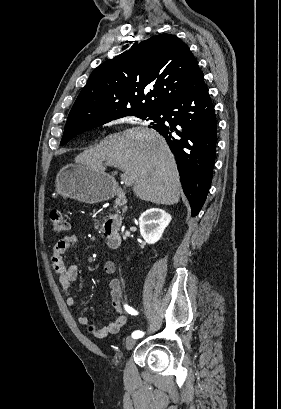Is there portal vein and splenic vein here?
<instances>
[{
	"mask_svg": "<svg viewBox=\"0 0 281 409\" xmlns=\"http://www.w3.org/2000/svg\"><path fill=\"white\" fill-rule=\"evenodd\" d=\"M106 164H108V166H112V162H106ZM121 180L124 182L127 189H132L134 187L135 178L130 176V174H126V172H124V174H121Z\"/></svg>",
	"mask_w": 281,
	"mask_h": 409,
	"instance_id": "18ae733b",
	"label": "portal vein and splenic vein"
}]
</instances>
